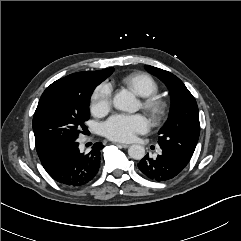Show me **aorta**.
I'll use <instances>...</instances> for the list:
<instances>
[{
    "mask_svg": "<svg viewBox=\"0 0 241 241\" xmlns=\"http://www.w3.org/2000/svg\"><path fill=\"white\" fill-rule=\"evenodd\" d=\"M113 105L118 110L130 113L139 109V103L135 96L126 90H122L114 96ZM128 154L135 160H141L145 156V148L138 144L131 145L128 149Z\"/></svg>",
    "mask_w": 241,
    "mask_h": 241,
    "instance_id": "1",
    "label": "aorta"
}]
</instances>
